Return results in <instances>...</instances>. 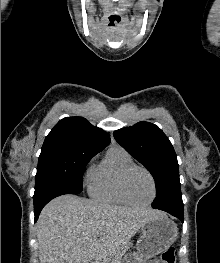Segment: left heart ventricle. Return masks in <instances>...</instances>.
Masks as SVG:
<instances>
[{"label":"left heart ventricle","instance_id":"b2bd125f","mask_svg":"<svg viewBox=\"0 0 220 263\" xmlns=\"http://www.w3.org/2000/svg\"><path fill=\"white\" fill-rule=\"evenodd\" d=\"M127 187L130 197L137 203H145L152 196L151 180L141 170H135L130 175Z\"/></svg>","mask_w":220,"mask_h":263}]
</instances>
